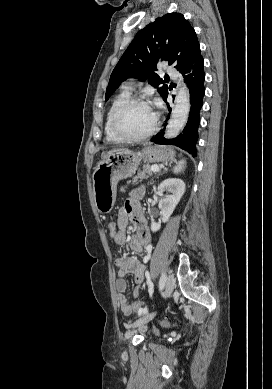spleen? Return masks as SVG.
I'll return each mask as SVG.
<instances>
[{"mask_svg":"<svg viewBox=\"0 0 272 389\" xmlns=\"http://www.w3.org/2000/svg\"><path fill=\"white\" fill-rule=\"evenodd\" d=\"M185 167V161L181 160L177 163V165L174 167L173 172L174 173H180Z\"/></svg>","mask_w":272,"mask_h":389,"instance_id":"obj_1","label":"spleen"}]
</instances>
